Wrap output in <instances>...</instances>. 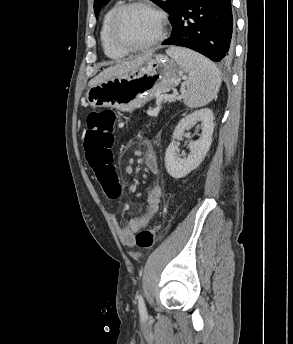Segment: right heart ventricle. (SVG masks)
Returning a JSON list of instances; mask_svg holds the SVG:
<instances>
[{
    "label": "right heart ventricle",
    "instance_id": "1",
    "mask_svg": "<svg viewBox=\"0 0 293 344\" xmlns=\"http://www.w3.org/2000/svg\"><path fill=\"white\" fill-rule=\"evenodd\" d=\"M119 4L111 6L104 14L100 28V42L104 54L111 60H121L126 57L127 52L118 49L110 38V22Z\"/></svg>",
    "mask_w": 293,
    "mask_h": 344
}]
</instances>
